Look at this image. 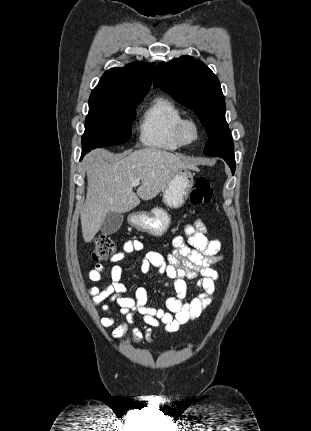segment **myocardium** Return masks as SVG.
<instances>
[{"label":"myocardium","mask_w":311,"mask_h":431,"mask_svg":"<svg viewBox=\"0 0 311 431\" xmlns=\"http://www.w3.org/2000/svg\"><path fill=\"white\" fill-rule=\"evenodd\" d=\"M188 122H194L196 127H197L198 134L194 140H190L186 136L185 126L187 125ZM202 134H203V126H202L201 121L197 117L184 116L180 119L178 126H177V136H178L179 141L184 146H190V145L196 144L200 140Z\"/></svg>","instance_id":"myocardium-1"}]
</instances>
